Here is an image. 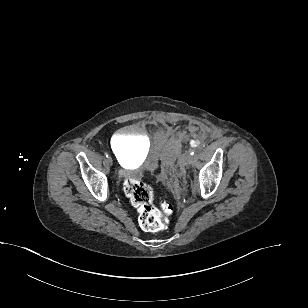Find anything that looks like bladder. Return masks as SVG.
Listing matches in <instances>:
<instances>
[{"mask_svg":"<svg viewBox=\"0 0 308 308\" xmlns=\"http://www.w3.org/2000/svg\"><path fill=\"white\" fill-rule=\"evenodd\" d=\"M111 149L121 166L125 167L144 160L148 155L150 142L140 126L129 125L114 134Z\"/></svg>","mask_w":308,"mask_h":308,"instance_id":"obj_1","label":"bladder"}]
</instances>
